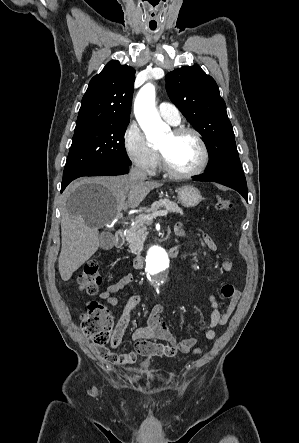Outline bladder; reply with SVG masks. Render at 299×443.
Masks as SVG:
<instances>
[{
  "instance_id": "1",
  "label": "bladder",
  "mask_w": 299,
  "mask_h": 443,
  "mask_svg": "<svg viewBox=\"0 0 299 443\" xmlns=\"http://www.w3.org/2000/svg\"><path fill=\"white\" fill-rule=\"evenodd\" d=\"M151 361H143L141 363H139L138 365V369L139 370H145L146 368H149L151 366Z\"/></svg>"
}]
</instances>
